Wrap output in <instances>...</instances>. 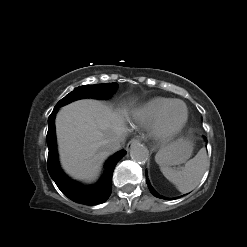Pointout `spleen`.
Wrapping results in <instances>:
<instances>
[{
    "instance_id": "3e777b00",
    "label": "spleen",
    "mask_w": 247,
    "mask_h": 247,
    "mask_svg": "<svg viewBox=\"0 0 247 247\" xmlns=\"http://www.w3.org/2000/svg\"><path fill=\"white\" fill-rule=\"evenodd\" d=\"M160 157L158 152L156 161ZM160 170L167 180L173 183L178 191L187 193L193 190L200 182L202 176L210 165L204 148L200 149L194 158L190 159L180 169L168 167L160 162Z\"/></svg>"
}]
</instances>
